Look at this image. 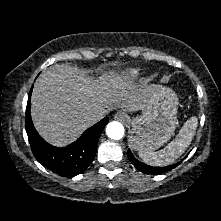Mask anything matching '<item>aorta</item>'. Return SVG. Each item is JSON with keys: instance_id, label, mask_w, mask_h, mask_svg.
Here are the masks:
<instances>
[{"instance_id": "aorta-1", "label": "aorta", "mask_w": 221, "mask_h": 221, "mask_svg": "<svg viewBox=\"0 0 221 221\" xmlns=\"http://www.w3.org/2000/svg\"><path fill=\"white\" fill-rule=\"evenodd\" d=\"M124 127L120 122L112 121L106 127V134L113 140H120L124 136Z\"/></svg>"}]
</instances>
